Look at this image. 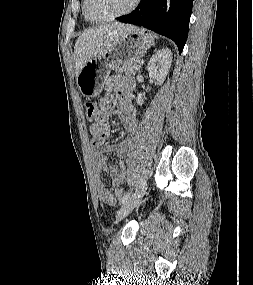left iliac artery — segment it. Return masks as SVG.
I'll return each instance as SVG.
<instances>
[{
	"mask_svg": "<svg viewBox=\"0 0 253 285\" xmlns=\"http://www.w3.org/2000/svg\"><path fill=\"white\" fill-rule=\"evenodd\" d=\"M132 191H128L121 199L120 204H124L131 196Z\"/></svg>",
	"mask_w": 253,
	"mask_h": 285,
	"instance_id": "obj_1",
	"label": "left iliac artery"
}]
</instances>
